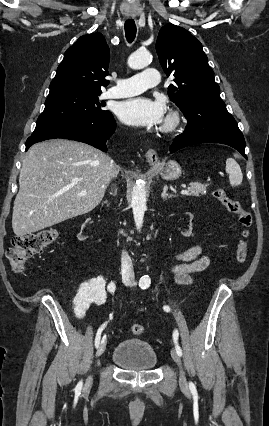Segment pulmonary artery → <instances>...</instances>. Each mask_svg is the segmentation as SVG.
Returning a JSON list of instances; mask_svg holds the SVG:
<instances>
[{
    "label": "pulmonary artery",
    "mask_w": 269,
    "mask_h": 426,
    "mask_svg": "<svg viewBox=\"0 0 269 426\" xmlns=\"http://www.w3.org/2000/svg\"><path fill=\"white\" fill-rule=\"evenodd\" d=\"M160 73L157 69L146 68L128 78L117 79L116 85L107 91L110 98H124L142 93L146 89L158 85Z\"/></svg>",
    "instance_id": "obj_1"
}]
</instances>
